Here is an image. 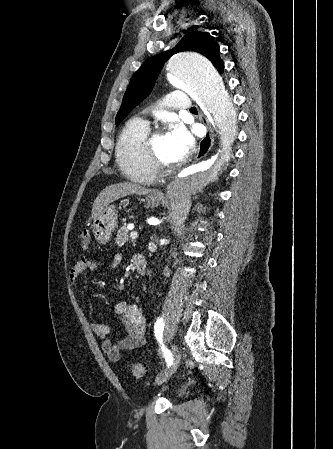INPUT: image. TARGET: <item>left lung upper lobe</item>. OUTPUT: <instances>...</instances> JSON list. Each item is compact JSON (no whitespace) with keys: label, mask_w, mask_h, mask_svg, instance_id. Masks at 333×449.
<instances>
[{"label":"left lung upper lobe","mask_w":333,"mask_h":449,"mask_svg":"<svg viewBox=\"0 0 333 449\" xmlns=\"http://www.w3.org/2000/svg\"><path fill=\"white\" fill-rule=\"evenodd\" d=\"M182 51H195L206 56L220 73L223 72L224 64L214 37L208 32L191 31L173 49L147 59L134 73L117 113L116 125L151 92L164 63L173 54Z\"/></svg>","instance_id":"1"}]
</instances>
